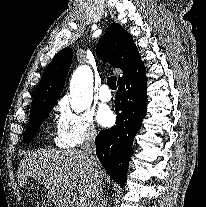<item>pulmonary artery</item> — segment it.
I'll return each instance as SVG.
<instances>
[{"label":"pulmonary artery","instance_id":"obj_1","mask_svg":"<svg viewBox=\"0 0 206 207\" xmlns=\"http://www.w3.org/2000/svg\"><path fill=\"white\" fill-rule=\"evenodd\" d=\"M97 96L101 101L109 102L112 99V93L109 90L108 85L106 84L101 85V87L97 92Z\"/></svg>","mask_w":206,"mask_h":207}]
</instances>
